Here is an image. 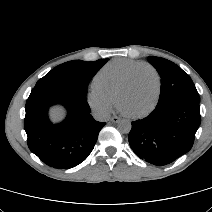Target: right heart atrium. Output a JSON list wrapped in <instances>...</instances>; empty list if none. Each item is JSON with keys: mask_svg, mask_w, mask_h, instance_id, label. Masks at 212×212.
I'll list each match as a JSON object with an SVG mask.
<instances>
[{"mask_svg": "<svg viewBox=\"0 0 212 212\" xmlns=\"http://www.w3.org/2000/svg\"><path fill=\"white\" fill-rule=\"evenodd\" d=\"M86 100L89 107L100 115L108 114L115 104L114 98L96 85L89 90Z\"/></svg>", "mask_w": 212, "mask_h": 212, "instance_id": "d8ad5b80", "label": "right heart atrium"}]
</instances>
